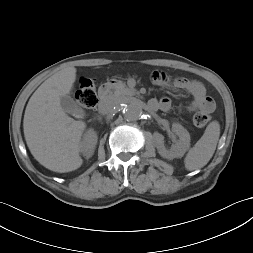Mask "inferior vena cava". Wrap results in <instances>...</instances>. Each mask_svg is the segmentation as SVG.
Here are the masks:
<instances>
[{
	"instance_id": "602c4592",
	"label": "inferior vena cava",
	"mask_w": 253,
	"mask_h": 253,
	"mask_svg": "<svg viewBox=\"0 0 253 253\" xmlns=\"http://www.w3.org/2000/svg\"><path fill=\"white\" fill-rule=\"evenodd\" d=\"M119 107V101L113 97H108L100 101L98 111L102 115H108L116 112Z\"/></svg>"
}]
</instances>
